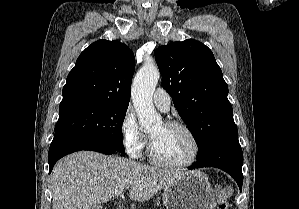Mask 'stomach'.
Segmentation results:
<instances>
[{"label":"stomach","mask_w":299,"mask_h":209,"mask_svg":"<svg viewBox=\"0 0 299 209\" xmlns=\"http://www.w3.org/2000/svg\"><path fill=\"white\" fill-rule=\"evenodd\" d=\"M166 209H214V193L206 174L194 171L164 188Z\"/></svg>","instance_id":"obj_1"}]
</instances>
